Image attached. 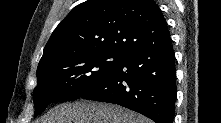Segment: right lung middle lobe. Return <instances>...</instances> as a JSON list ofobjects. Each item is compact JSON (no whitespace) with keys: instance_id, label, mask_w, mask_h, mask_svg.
<instances>
[{"instance_id":"obj_1","label":"right lung middle lobe","mask_w":221,"mask_h":123,"mask_svg":"<svg viewBox=\"0 0 221 123\" xmlns=\"http://www.w3.org/2000/svg\"><path fill=\"white\" fill-rule=\"evenodd\" d=\"M125 57V53L92 50L38 66V82L33 95L35 116L52 102L79 99L93 86L105 81Z\"/></svg>"}]
</instances>
